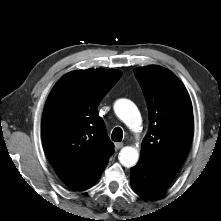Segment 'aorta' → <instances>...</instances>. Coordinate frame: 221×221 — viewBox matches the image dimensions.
Instances as JSON below:
<instances>
[{
	"label": "aorta",
	"instance_id": "obj_1",
	"mask_svg": "<svg viewBox=\"0 0 221 221\" xmlns=\"http://www.w3.org/2000/svg\"><path fill=\"white\" fill-rule=\"evenodd\" d=\"M116 115L132 130L141 125V115L136 105L127 99H119L114 104ZM139 160V152L131 146L123 147L119 153L120 163L127 168L133 167Z\"/></svg>",
	"mask_w": 221,
	"mask_h": 221
}]
</instances>
